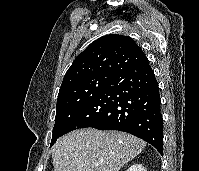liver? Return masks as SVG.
Here are the masks:
<instances>
[{"instance_id": "obj_1", "label": "liver", "mask_w": 199, "mask_h": 171, "mask_svg": "<svg viewBox=\"0 0 199 171\" xmlns=\"http://www.w3.org/2000/svg\"><path fill=\"white\" fill-rule=\"evenodd\" d=\"M138 137L94 128L59 138L52 149L54 171H119L145 148Z\"/></svg>"}]
</instances>
